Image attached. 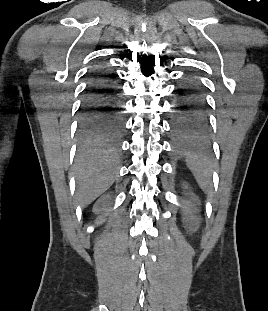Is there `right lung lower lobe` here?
Segmentation results:
<instances>
[{"instance_id": "1", "label": "right lung lower lobe", "mask_w": 268, "mask_h": 311, "mask_svg": "<svg viewBox=\"0 0 268 311\" xmlns=\"http://www.w3.org/2000/svg\"><path fill=\"white\" fill-rule=\"evenodd\" d=\"M122 105L119 88L107 72L99 69L86 90L80 109L82 138L118 140L124 131Z\"/></svg>"}]
</instances>
